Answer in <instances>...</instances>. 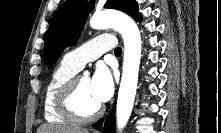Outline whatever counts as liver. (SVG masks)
<instances>
[{"instance_id": "6515ba94", "label": "liver", "mask_w": 221, "mask_h": 133, "mask_svg": "<svg viewBox=\"0 0 221 133\" xmlns=\"http://www.w3.org/2000/svg\"><path fill=\"white\" fill-rule=\"evenodd\" d=\"M37 133H89L87 129L66 127L60 125H41Z\"/></svg>"}]
</instances>
